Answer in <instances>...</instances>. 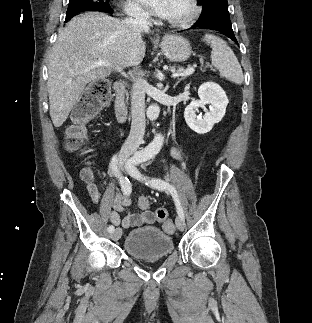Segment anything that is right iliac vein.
I'll list each match as a JSON object with an SVG mask.
<instances>
[{
    "mask_svg": "<svg viewBox=\"0 0 312 323\" xmlns=\"http://www.w3.org/2000/svg\"><path fill=\"white\" fill-rule=\"evenodd\" d=\"M126 171L129 172L130 170L126 167ZM121 234H122V230L120 227H117L111 234V239L112 240H118L120 239L121 237Z\"/></svg>",
    "mask_w": 312,
    "mask_h": 323,
    "instance_id": "63e3f726",
    "label": "right iliac vein"
}]
</instances>
